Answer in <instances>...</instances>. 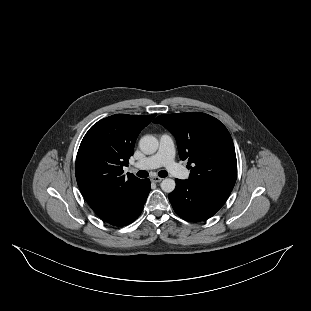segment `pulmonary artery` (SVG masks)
<instances>
[{"label": "pulmonary artery", "instance_id": "pulmonary-artery-1", "mask_svg": "<svg viewBox=\"0 0 311 311\" xmlns=\"http://www.w3.org/2000/svg\"><path fill=\"white\" fill-rule=\"evenodd\" d=\"M175 145L172 137L168 134L159 136L158 151L156 154L147 157L134 164L140 170H152L165 167L170 173L179 175L183 170L181 164L175 162Z\"/></svg>", "mask_w": 311, "mask_h": 311}]
</instances>
